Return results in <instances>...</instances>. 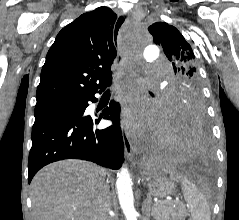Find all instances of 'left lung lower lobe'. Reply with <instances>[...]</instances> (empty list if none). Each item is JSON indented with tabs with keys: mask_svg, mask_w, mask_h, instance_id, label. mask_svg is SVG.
<instances>
[{
	"mask_svg": "<svg viewBox=\"0 0 239 220\" xmlns=\"http://www.w3.org/2000/svg\"><path fill=\"white\" fill-rule=\"evenodd\" d=\"M172 134L170 154L163 162L181 165H198L213 155L209 128L202 108H191L185 112H170Z\"/></svg>",
	"mask_w": 239,
	"mask_h": 220,
	"instance_id": "0a47b994",
	"label": "left lung lower lobe"
}]
</instances>
